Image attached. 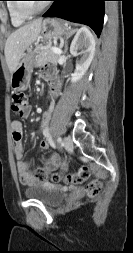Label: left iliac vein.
Listing matches in <instances>:
<instances>
[{
	"instance_id": "1",
	"label": "left iliac vein",
	"mask_w": 133,
	"mask_h": 253,
	"mask_svg": "<svg viewBox=\"0 0 133 253\" xmlns=\"http://www.w3.org/2000/svg\"><path fill=\"white\" fill-rule=\"evenodd\" d=\"M63 145H64L65 149L71 150L73 148L72 138L70 136L64 137Z\"/></svg>"
}]
</instances>
